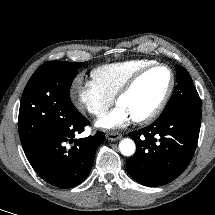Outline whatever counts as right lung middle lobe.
Wrapping results in <instances>:
<instances>
[{
	"label": "right lung middle lobe",
	"instance_id": "dd1d6c3e",
	"mask_svg": "<svg viewBox=\"0 0 215 215\" xmlns=\"http://www.w3.org/2000/svg\"><path fill=\"white\" fill-rule=\"evenodd\" d=\"M81 65V62L48 61L32 75L19 109L22 146L60 128L79 114L70 99V87Z\"/></svg>",
	"mask_w": 215,
	"mask_h": 215
}]
</instances>
